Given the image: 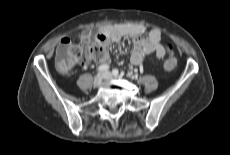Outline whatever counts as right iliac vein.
<instances>
[{"mask_svg": "<svg viewBox=\"0 0 230 155\" xmlns=\"http://www.w3.org/2000/svg\"><path fill=\"white\" fill-rule=\"evenodd\" d=\"M104 74H98L94 79V87H99L102 84Z\"/></svg>", "mask_w": 230, "mask_h": 155, "instance_id": "right-iliac-vein-1", "label": "right iliac vein"}]
</instances>
